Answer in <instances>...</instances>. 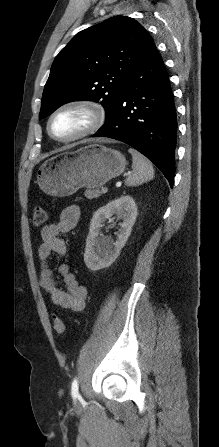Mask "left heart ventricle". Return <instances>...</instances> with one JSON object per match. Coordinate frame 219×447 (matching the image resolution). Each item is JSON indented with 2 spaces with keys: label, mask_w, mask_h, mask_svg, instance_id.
<instances>
[{
  "label": "left heart ventricle",
  "mask_w": 219,
  "mask_h": 447,
  "mask_svg": "<svg viewBox=\"0 0 219 447\" xmlns=\"http://www.w3.org/2000/svg\"><path fill=\"white\" fill-rule=\"evenodd\" d=\"M90 118L82 110H67L57 115L51 125L54 135L58 137H70L79 133L89 123Z\"/></svg>",
  "instance_id": "left-heart-ventricle-1"
}]
</instances>
